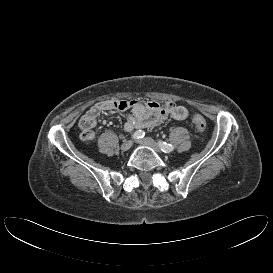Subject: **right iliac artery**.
<instances>
[{
	"label": "right iliac artery",
	"mask_w": 273,
	"mask_h": 273,
	"mask_svg": "<svg viewBox=\"0 0 273 273\" xmlns=\"http://www.w3.org/2000/svg\"><path fill=\"white\" fill-rule=\"evenodd\" d=\"M145 135V132L142 130H137L133 133L132 139L137 140L143 138Z\"/></svg>",
	"instance_id": "82829eb1"
}]
</instances>
